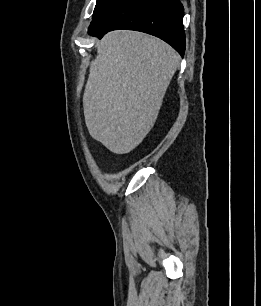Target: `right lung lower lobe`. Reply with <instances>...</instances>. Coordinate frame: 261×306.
<instances>
[{
	"label": "right lung lower lobe",
	"mask_w": 261,
	"mask_h": 306,
	"mask_svg": "<svg viewBox=\"0 0 261 306\" xmlns=\"http://www.w3.org/2000/svg\"><path fill=\"white\" fill-rule=\"evenodd\" d=\"M184 8L179 0H112L91 22L89 33L101 38L117 29L145 32L185 52Z\"/></svg>",
	"instance_id": "1"
}]
</instances>
